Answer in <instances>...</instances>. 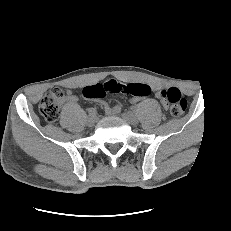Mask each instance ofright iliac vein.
<instances>
[{
  "label": "right iliac vein",
  "instance_id": "1",
  "mask_svg": "<svg viewBox=\"0 0 231 231\" xmlns=\"http://www.w3.org/2000/svg\"><path fill=\"white\" fill-rule=\"evenodd\" d=\"M96 121H97V117L95 115H89L87 118V123L90 126L94 125Z\"/></svg>",
  "mask_w": 231,
  "mask_h": 231
}]
</instances>
